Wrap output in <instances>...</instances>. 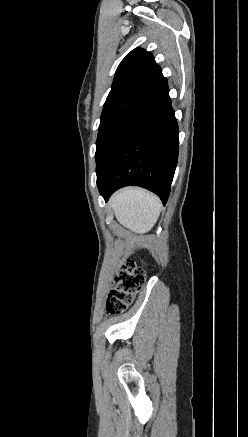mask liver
I'll return each instance as SVG.
<instances>
[{
  "instance_id": "liver-1",
  "label": "liver",
  "mask_w": 248,
  "mask_h": 437,
  "mask_svg": "<svg viewBox=\"0 0 248 437\" xmlns=\"http://www.w3.org/2000/svg\"><path fill=\"white\" fill-rule=\"evenodd\" d=\"M116 219L131 231L149 232L161 211L159 198L140 188H126L116 192L109 201Z\"/></svg>"
}]
</instances>
